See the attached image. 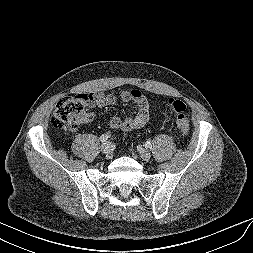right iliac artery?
Returning <instances> with one entry per match:
<instances>
[{
    "label": "right iliac artery",
    "mask_w": 253,
    "mask_h": 253,
    "mask_svg": "<svg viewBox=\"0 0 253 253\" xmlns=\"http://www.w3.org/2000/svg\"><path fill=\"white\" fill-rule=\"evenodd\" d=\"M110 138L109 134H103L100 136V141L103 142H107V140Z\"/></svg>",
    "instance_id": "obj_1"
}]
</instances>
